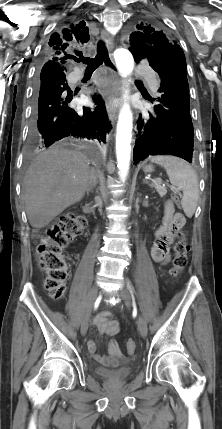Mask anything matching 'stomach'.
Segmentation results:
<instances>
[{
	"mask_svg": "<svg viewBox=\"0 0 222 429\" xmlns=\"http://www.w3.org/2000/svg\"><path fill=\"white\" fill-rule=\"evenodd\" d=\"M143 170H144L145 172H152V171L154 170V168H153V166H152V165H146V166L143 168Z\"/></svg>",
	"mask_w": 222,
	"mask_h": 429,
	"instance_id": "stomach-1",
	"label": "stomach"
}]
</instances>
